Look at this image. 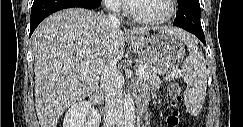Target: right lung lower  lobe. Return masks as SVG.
Wrapping results in <instances>:
<instances>
[{
  "label": "right lung lower lobe",
  "instance_id": "right-lung-lower-lobe-1",
  "mask_svg": "<svg viewBox=\"0 0 243 127\" xmlns=\"http://www.w3.org/2000/svg\"><path fill=\"white\" fill-rule=\"evenodd\" d=\"M99 5L100 0H34L31 8L30 36L44 18L58 10L72 7L95 9Z\"/></svg>",
  "mask_w": 243,
  "mask_h": 127
}]
</instances>
